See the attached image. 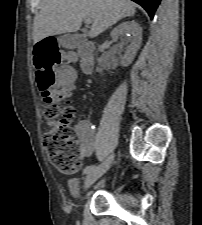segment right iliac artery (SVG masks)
<instances>
[{
	"mask_svg": "<svg viewBox=\"0 0 202 225\" xmlns=\"http://www.w3.org/2000/svg\"><path fill=\"white\" fill-rule=\"evenodd\" d=\"M94 168H95V166H93V165L87 166V167L83 170V174L89 173V172L92 171Z\"/></svg>",
	"mask_w": 202,
	"mask_h": 225,
	"instance_id": "82829eb1",
	"label": "right iliac artery"
}]
</instances>
